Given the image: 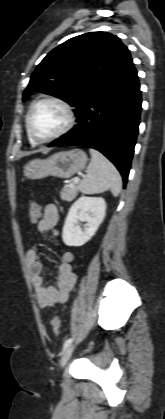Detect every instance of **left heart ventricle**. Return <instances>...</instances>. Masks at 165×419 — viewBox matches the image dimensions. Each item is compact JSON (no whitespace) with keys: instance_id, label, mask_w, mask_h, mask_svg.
Instances as JSON below:
<instances>
[{"instance_id":"b2bd125f","label":"left heart ventricle","mask_w":165,"mask_h":419,"mask_svg":"<svg viewBox=\"0 0 165 419\" xmlns=\"http://www.w3.org/2000/svg\"><path fill=\"white\" fill-rule=\"evenodd\" d=\"M66 122L63 109L57 104L45 102L39 104L33 111L31 123L35 134L47 138L58 132Z\"/></svg>"}]
</instances>
